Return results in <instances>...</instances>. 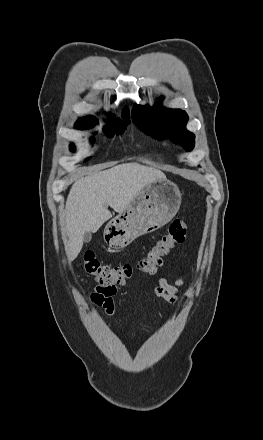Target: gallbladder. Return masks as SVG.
<instances>
[{"label": "gallbladder", "mask_w": 263, "mask_h": 440, "mask_svg": "<svg viewBox=\"0 0 263 440\" xmlns=\"http://www.w3.org/2000/svg\"><path fill=\"white\" fill-rule=\"evenodd\" d=\"M91 239H92V236H91V233H90V232H87V233L84 234V236H83V241H84L85 243H89V242L91 241Z\"/></svg>", "instance_id": "1"}]
</instances>
